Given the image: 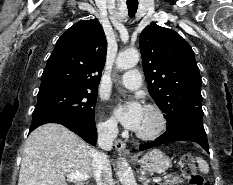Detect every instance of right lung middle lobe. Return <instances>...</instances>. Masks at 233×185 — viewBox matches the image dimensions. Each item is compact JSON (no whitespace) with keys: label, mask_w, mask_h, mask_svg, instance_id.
<instances>
[{"label":"right lung middle lobe","mask_w":233,"mask_h":185,"mask_svg":"<svg viewBox=\"0 0 233 185\" xmlns=\"http://www.w3.org/2000/svg\"><path fill=\"white\" fill-rule=\"evenodd\" d=\"M37 98V105L32 116L67 115L95 123L94 108L97 91L57 87L39 90Z\"/></svg>","instance_id":"1"}]
</instances>
